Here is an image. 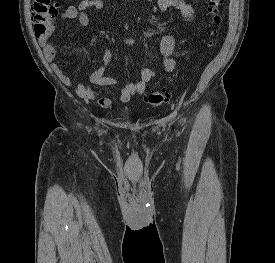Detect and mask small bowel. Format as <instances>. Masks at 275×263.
I'll use <instances>...</instances> for the list:
<instances>
[{
  "label": "small bowel",
  "instance_id": "c3829d8e",
  "mask_svg": "<svg viewBox=\"0 0 275 263\" xmlns=\"http://www.w3.org/2000/svg\"><path fill=\"white\" fill-rule=\"evenodd\" d=\"M159 11L165 12L170 8L178 9L184 18L190 22L194 17V10L185 0H156ZM93 9L98 12L110 14V10L102 0H81L75 5L68 6L61 14L62 20H76L81 27H87L90 23L88 10ZM51 33L39 38V43L43 49L45 59L50 63L51 69L61 80L63 84L73 88L76 93L83 99L95 101L102 107H108L111 103L119 98L121 102H127L134 95L143 94L147 84L156 77V69L151 67H143L139 70V80L129 83L123 87L118 94L111 96H102L90 86L74 81L63 73L58 64L53 60L56 57V49L50 39ZM124 41L128 45L133 44V39L129 36L124 37ZM176 41L174 37L166 32L160 35V52L162 55L161 70L164 73H172L176 70L177 62L173 58ZM103 64L89 76V82L95 85L111 86L117 83L116 78L105 75L107 67L110 65L113 55L111 51L103 49L101 51Z\"/></svg>",
  "mask_w": 275,
  "mask_h": 263
}]
</instances>
